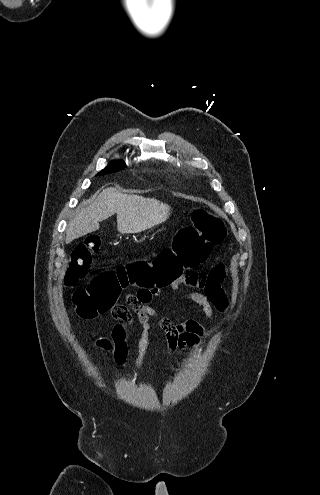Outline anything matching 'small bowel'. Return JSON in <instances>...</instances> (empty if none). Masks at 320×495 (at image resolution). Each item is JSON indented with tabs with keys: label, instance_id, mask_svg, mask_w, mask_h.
<instances>
[{
	"label": "small bowel",
	"instance_id": "1",
	"mask_svg": "<svg viewBox=\"0 0 320 495\" xmlns=\"http://www.w3.org/2000/svg\"><path fill=\"white\" fill-rule=\"evenodd\" d=\"M226 274L223 264H217L208 273H201L195 270H189L186 274L174 280L170 287L173 290L185 284L197 289L188 294V300L200 306L209 318L213 315V308L225 310L228 306V300L225 293L220 288ZM144 291L150 297L146 302H137L135 295L126 296V305H121L118 310L110 311V314L118 322L113 328L112 337L116 344L118 359H121L126 352L125 338L130 326L137 319L141 326V337L138 341V353L135 359V367L139 368L143 364L146 351L149 344L150 319L158 318L157 311L150 306V302L158 292L152 290L139 289ZM138 293V292H137ZM160 325L166 334L168 349L171 352L181 351L198 345L206 335L204 328L193 319L178 318L170 320L162 318Z\"/></svg>",
	"mask_w": 320,
	"mask_h": 495
}]
</instances>
